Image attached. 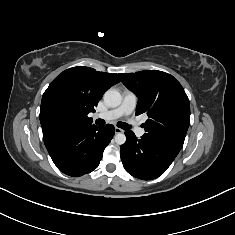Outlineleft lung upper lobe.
<instances>
[{
  "mask_svg": "<svg viewBox=\"0 0 235 235\" xmlns=\"http://www.w3.org/2000/svg\"><path fill=\"white\" fill-rule=\"evenodd\" d=\"M138 97L136 115L146 113L145 136L182 148L190 123L189 99L181 84L158 70L119 74Z\"/></svg>",
  "mask_w": 235,
  "mask_h": 235,
  "instance_id": "left-lung-upper-lobe-1",
  "label": "left lung upper lobe"
}]
</instances>
